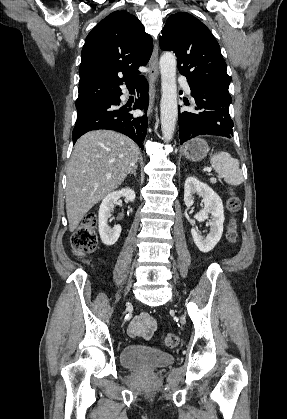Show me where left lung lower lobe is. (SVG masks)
Masks as SVG:
<instances>
[{"mask_svg": "<svg viewBox=\"0 0 287 419\" xmlns=\"http://www.w3.org/2000/svg\"><path fill=\"white\" fill-rule=\"evenodd\" d=\"M189 86L196 112L179 114L180 144L201 135L231 138L233 121L228 110L232 102L229 92L200 85Z\"/></svg>", "mask_w": 287, "mask_h": 419, "instance_id": "0a47b994", "label": "left lung lower lobe"}]
</instances>
